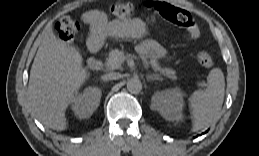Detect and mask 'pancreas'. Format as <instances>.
Returning <instances> with one entry per match:
<instances>
[{"label": "pancreas", "mask_w": 259, "mask_h": 156, "mask_svg": "<svg viewBox=\"0 0 259 156\" xmlns=\"http://www.w3.org/2000/svg\"><path fill=\"white\" fill-rule=\"evenodd\" d=\"M141 52L145 56L150 58V64L156 72H160L162 75L172 80L176 79L175 71L173 69L160 66V63L157 59V55L151 43L144 44L142 46ZM128 57H130V55L125 54L122 50H118V49L112 50L109 53L108 58L106 59V63H105L106 69L107 70L120 69L122 64Z\"/></svg>", "instance_id": "obj_1"}]
</instances>
